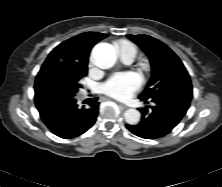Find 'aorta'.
<instances>
[{
  "instance_id": "obj_1",
  "label": "aorta",
  "mask_w": 222,
  "mask_h": 187,
  "mask_svg": "<svg viewBox=\"0 0 222 187\" xmlns=\"http://www.w3.org/2000/svg\"><path fill=\"white\" fill-rule=\"evenodd\" d=\"M92 58L97 66L103 69L115 65L117 54L115 48L109 43H99L92 49ZM140 112L136 109H128L124 113L126 123L136 125L140 121Z\"/></svg>"
}]
</instances>
